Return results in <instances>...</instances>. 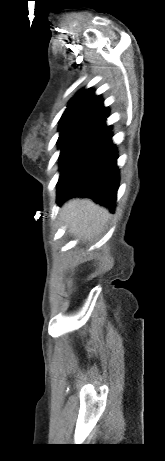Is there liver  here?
I'll list each match as a JSON object with an SVG mask.
<instances>
[{
	"instance_id": "1",
	"label": "liver",
	"mask_w": 165,
	"mask_h": 461,
	"mask_svg": "<svg viewBox=\"0 0 165 461\" xmlns=\"http://www.w3.org/2000/svg\"><path fill=\"white\" fill-rule=\"evenodd\" d=\"M62 219L68 230L79 239H91L104 229L109 212L90 199H71L62 207Z\"/></svg>"
}]
</instances>
